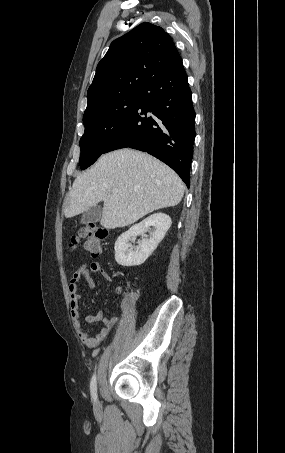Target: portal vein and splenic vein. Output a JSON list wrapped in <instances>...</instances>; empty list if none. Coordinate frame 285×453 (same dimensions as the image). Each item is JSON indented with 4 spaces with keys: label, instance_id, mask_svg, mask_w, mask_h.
I'll return each instance as SVG.
<instances>
[{
    "label": "portal vein and splenic vein",
    "instance_id": "obj_1",
    "mask_svg": "<svg viewBox=\"0 0 285 453\" xmlns=\"http://www.w3.org/2000/svg\"><path fill=\"white\" fill-rule=\"evenodd\" d=\"M112 193H113V194L118 193V189H117V188H113V189H112Z\"/></svg>",
    "mask_w": 285,
    "mask_h": 453
}]
</instances>
